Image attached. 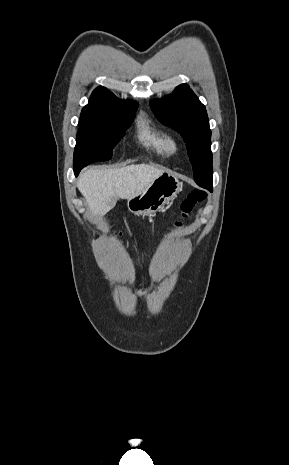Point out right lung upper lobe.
<instances>
[{
  "mask_svg": "<svg viewBox=\"0 0 289 465\" xmlns=\"http://www.w3.org/2000/svg\"><path fill=\"white\" fill-rule=\"evenodd\" d=\"M120 103L125 101L118 99L109 90L97 87L89 99V104L81 112L79 124L99 125L108 122L111 118V107Z\"/></svg>",
  "mask_w": 289,
  "mask_h": 465,
  "instance_id": "cb5924a9",
  "label": "right lung upper lobe"
}]
</instances>
